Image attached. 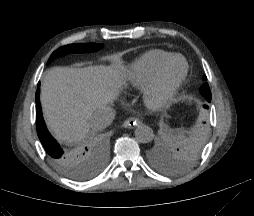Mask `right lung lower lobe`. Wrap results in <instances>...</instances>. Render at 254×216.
<instances>
[{
  "instance_id": "1",
  "label": "right lung lower lobe",
  "mask_w": 254,
  "mask_h": 216,
  "mask_svg": "<svg viewBox=\"0 0 254 216\" xmlns=\"http://www.w3.org/2000/svg\"><path fill=\"white\" fill-rule=\"evenodd\" d=\"M39 91H40V86L38 85L36 96H35L36 97L37 134L41 143L43 144L45 148V151L49 155L52 162L59 163L60 161L64 160L67 156L72 154V152H64L63 149L60 147V145L57 143V141L51 136V134L47 130L43 116H42V110H41V105L39 101ZM81 156L86 161L90 160V154L88 150H86L85 153L82 154Z\"/></svg>"
}]
</instances>
